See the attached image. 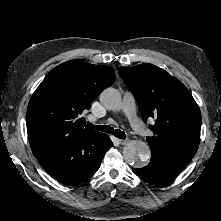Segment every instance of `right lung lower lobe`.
Listing matches in <instances>:
<instances>
[{
  "label": "right lung lower lobe",
  "instance_id": "1",
  "mask_svg": "<svg viewBox=\"0 0 221 221\" xmlns=\"http://www.w3.org/2000/svg\"><path fill=\"white\" fill-rule=\"evenodd\" d=\"M112 146L107 135L90 134L65 143L37 159L59 182L79 185L96 173Z\"/></svg>",
  "mask_w": 221,
  "mask_h": 221
}]
</instances>
